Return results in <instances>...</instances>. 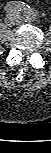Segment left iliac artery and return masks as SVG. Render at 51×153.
<instances>
[{
    "instance_id": "1",
    "label": "left iliac artery",
    "mask_w": 51,
    "mask_h": 153,
    "mask_svg": "<svg viewBox=\"0 0 51 153\" xmlns=\"http://www.w3.org/2000/svg\"><path fill=\"white\" fill-rule=\"evenodd\" d=\"M37 16V12L30 8V6H28V8L24 11V17L26 21H34L36 19Z\"/></svg>"
}]
</instances>
